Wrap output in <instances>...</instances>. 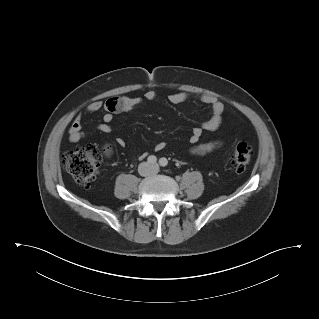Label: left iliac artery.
I'll return each mask as SVG.
<instances>
[{
    "instance_id": "1",
    "label": "left iliac artery",
    "mask_w": 319,
    "mask_h": 319,
    "mask_svg": "<svg viewBox=\"0 0 319 319\" xmlns=\"http://www.w3.org/2000/svg\"><path fill=\"white\" fill-rule=\"evenodd\" d=\"M159 164H160L162 167H165V166H167V164H168V160H167L166 158H161V159L159 160Z\"/></svg>"
}]
</instances>
